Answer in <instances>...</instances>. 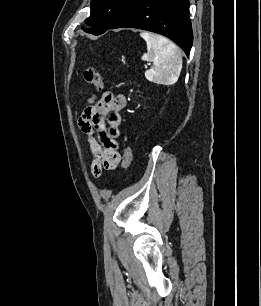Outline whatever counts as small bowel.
<instances>
[{
  "label": "small bowel",
  "instance_id": "c3829d8e",
  "mask_svg": "<svg viewBox=\"0 0 261 306\" xmlns=\"http://www.w3.org/2000/svg\"><path fill=\"white\" fill-rule=\"evenodd\" d=\"M127 104L123 94L107 92L98 100H88L79 127L86 136L92 155L91 170L101 176L103 170L114 169L121 160L117 138L120 136V111Z\"/></svg>",
  "mask_w": 261,
  "mask_h": 306
}]
</instances>
